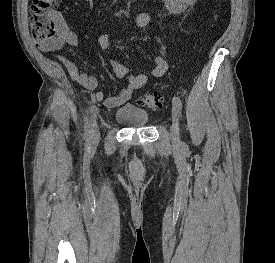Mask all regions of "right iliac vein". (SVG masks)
<instances>
[{
  "label": "right iliac vein",
  "instance_id": "63e3f726",
  "mask_svg": "<svg viewBox=\"0 0 275 263\" xmlns=\"http://www.w3.org/2000/svg\"><path fill=\"white\" fill-rule=\"evenodd\" d=\"M99 138H100V131L95 121V115H94L93 123H92L91 142L93 144L97 143L99 141Z\"/></svg>",
  "mask_w": 275,
  "mask_h": 263
}]
</instances>
